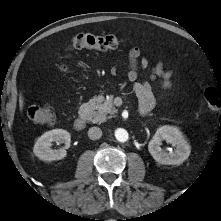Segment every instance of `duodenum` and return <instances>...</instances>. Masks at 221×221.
I'll use <instances>...</instances> for the list:
<instances>
[{
    "instance_id": "410a0bca",
    "label": "duodenum",
    "mask_w": 221,
    "mask_h": 221,
    "mask_svg": "<svg viewBox=\"0 0 221 221\" xmlns=\"http://www.w3.org/2000/svg\"><path fill=\"white\" fill-rule=\"evenodd\" d=\"M90 116V106L88 104L81 105L79 109V114L76 120L74 121V129L76 131H82L86 126V121Z\"/></svg>"
}]
</instances>
